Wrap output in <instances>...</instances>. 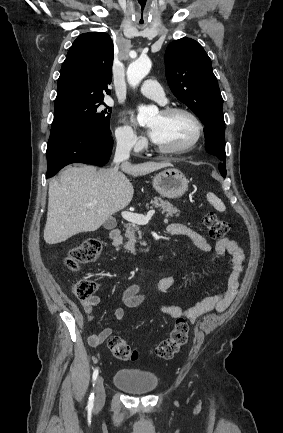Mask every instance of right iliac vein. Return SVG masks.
Wrapping results in <instances>:
<instances>
[{"label": "right iliac vein", "mask_w": 283, "mask_h": 433, "mask_svg": "<svg viewBox=\"0 0 283 433\" xmlns=\"http://www.w3.org/2000/svg\"><path fill=\"white\" fill-rule=\"evenodd\" d=\"M95 391V409L98 410L105 403V387L102 376H98L96 380Z\"/></svg>", "instance_id": "right-iliac-vein-1"}]
</instances>
